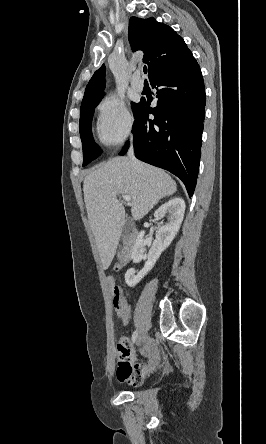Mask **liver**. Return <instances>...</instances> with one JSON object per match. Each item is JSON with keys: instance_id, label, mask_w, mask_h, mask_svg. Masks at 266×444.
Returning <instances> with one entry per match:
<instances>
[{"instance_id": "liver-1", "label": "liver", "mask_w": 266, "mask_h": 444, "mask_svg": "<svg viewBox=\"0 0 266 444\" xmlns=\"http://www.w3.org/2000/svg\"><path fill=\"white\" fill-rule=\"evenodd\" d=\"M176 189V182L163 170L127 157L112 158L85 177L84 201L103 269L116 254L125 224V210L116 196L129 195L132 216L140 220Z\"/></svg>"}]
</instances>
